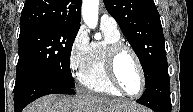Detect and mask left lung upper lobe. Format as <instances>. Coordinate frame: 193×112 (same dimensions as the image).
Listing matches in <instances>:
<instances>
[{"label":"left lung upper lobe","instance_id":"5c2ea615","mask_svg":"<svg viewBox=\"0 0 193 112\" xmlns=\"http://www.w3.org/2000/svg\"><path fill=\"white\" fill-rule=\"evenodd\" d=\"M107 11L138 56L145 75V87L166 62L165 39L153 0H103Z\"/></svg>","mask_w":193,"mask_h":112}]
</instances>
